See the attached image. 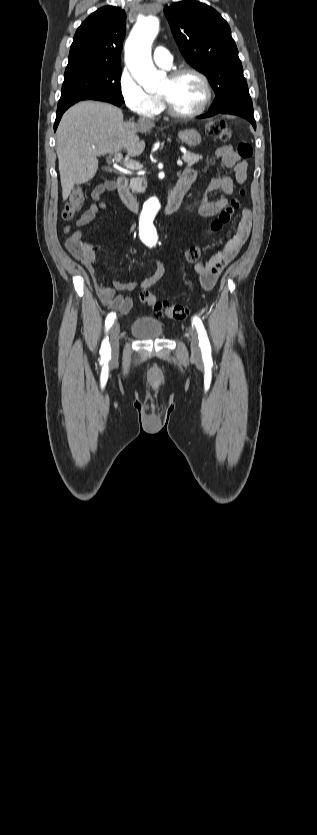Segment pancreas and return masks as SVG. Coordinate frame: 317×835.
Returning <instances> with one entry per match:
<instances>
[{
  "label": "pancreas",
  "mask_w": 317,
  "mask_h": 835,
  "mask_svg": "<svg viewBox=\"0 0 317 835\" xmlns=\"http://www.w3.org/2000/svg\"><path fill=\"white\" fill-rule=\"evenodd\" d=\"M182 159L188 164V166H193L202 159V156L188 151L182 156ZM146 186L147 184L144 178H133L130 180V189H132L133 192H144Z\"/></svg>",
  "instance_id": "pancreas-1"
}]
</instances>
